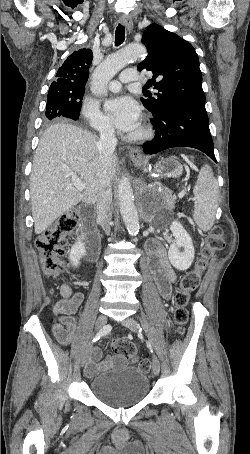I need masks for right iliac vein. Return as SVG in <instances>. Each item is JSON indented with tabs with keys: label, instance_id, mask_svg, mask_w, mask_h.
Segmentation results:
<instances>
[{
	"label": "right iliac vein",
	"instance_id": "obj_1",
	"mask_svg": "<svg viewBox=\"0 0 250 454\" xmlns=\"http://www.w3.org/2000/svg\"><path fill=\"white\" fill-rule=\"evenodd\" d=\"M107 324V317L103 314L99 315L96 320V329L100 330ZM92 351V344H88L84 349L82 356H81V366H84L85 362L87 361L90 353Z\"/></svg>",
	"mask_w": 250,
	"mask_h": 454
}]
</instances>
